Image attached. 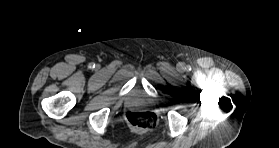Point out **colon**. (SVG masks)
Returning <instances> with one entry per match:
<instances>
[{
    "instance_id": "5ec220e1",
    "label": "colon",
    "mask_w": 279,
    "mask_h": 148,
    "mask_svg": "<svg viewBox=\"0 0 279 148\" xmlns=\"http://www.w3.org/2000/svg\"><path fill=\"white\" fill-rule=\"evenodd\" d=\"M126 120L136 129L147 130L155 126L156 115L150 111H133L126 114Z\"/></svg>"
}]
</instances>
